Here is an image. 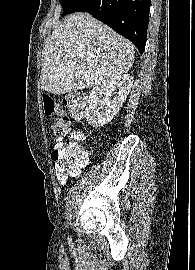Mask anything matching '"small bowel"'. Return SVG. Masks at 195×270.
I'll list each match as a JSON object with an SVG mask.
<instances>
[{
  "label": "small bowel",
  "mask_w": 195,
  "mask_h": 270,
  "mask_svg": "<svg viewBox=\"0 0 195 270\" xmlns=\"http://www.w3.org/2000/svg\"><path fill=\"white\" fill-rule=\"evenodd\" d=\"M61 144V142H60V140L58 139L57 140V144L55 145V146H58V145H60Z\"/></svg>",
  "instance_id": "c3829d8e"
}]
</instances>
